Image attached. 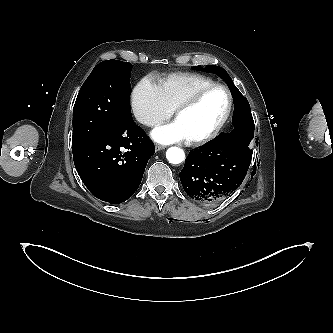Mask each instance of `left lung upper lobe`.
<instances>
[{"mask_svg":"<svg viewBox=\"0 0 333 333\" xmlns=\"http://www.w3.org/2000/svg\"><path fill=\"white\" fill-rule=\"evenodd\" d=\"M193 69L198 70V71L205 70V71H208V72H211V73H214V74L218 75L219 77H221L226 82V84L230 88L234 100L238 99V100H242V101H245L246 103H248L246 98L236 88L232 79L230 78L228 73L223 68H221L219 66L208 65L207 69H203L201 66H195V67H193ZM247 149L252 154V151L249 148H247Z\"/></svg>","mask_w":333,"mask_h":333,"instance_id":"left-lung-upper-lobe-1","label":"left lung upper lobe"}]
</instances>
